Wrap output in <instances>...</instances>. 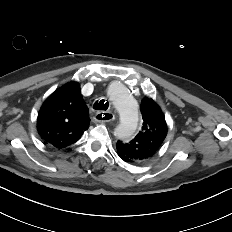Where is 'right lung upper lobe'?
Listing matches in <instances>:
<instances>
[{
    "mask_svg": "<svg viewBox=\"0 0 232 232\" xmlns=\"http://www.w3.org/2000/svg\"><path fill=\"white\" fill-rule=\"evenodd\" d=\"M88 108L80 86L71 81L54 91L41 106L37 131L45 144L58 149L78 141L89 128Z\"/></svg>",
    "mask_w": 232,
    "mask_h": 232,
    "instance_id": "1",
    "label": "right lung upper lobe"
}]
</instances>
